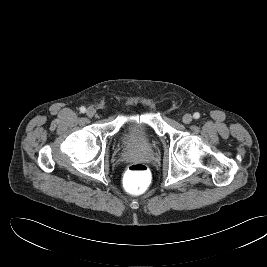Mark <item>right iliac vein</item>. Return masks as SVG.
<instances>
[{
	"label": "right iliac vein",
	"mask_w": 267,
	"mask_h": 267,
	"mask_svg": "<svg viewBox=\"0 0 267 267\" xmlns=\"http://www.w3.org/2000/svg\"><path fill=\"white\" fill-rule=\"evenodd\" d=\"M95 113H96V110L93 107H89L86 111V115L90 118L93 117Z\"/></svg>",
	"instance_id": "obj_1"
}]
</instances>
